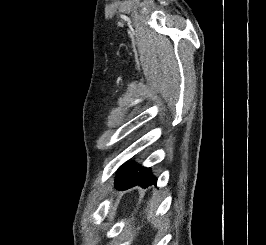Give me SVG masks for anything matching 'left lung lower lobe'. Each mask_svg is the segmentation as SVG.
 Segmentation results:
<instances>
[{
  "instance_id": "left-lung-lower-lobe-1",
  "label": "left lung lower lobe",
  "mask_w": 266,
  "mask_h": 245,
  "mask_svg": "<svg viewBox=\"0 0 266 245\" xmlns=\"http://www.w3.org/2000/svg\"><path fill=\"white\" fill-rule=\"evenodd\" d=\"M151 184H156V178L151 174L150 169L138 166L131 168L126 174L118 175L115 181V187L118 190H126L136 185L145 188Z\"/></svg>"
}]
</instances>
